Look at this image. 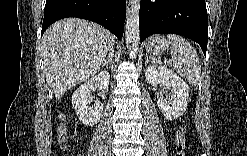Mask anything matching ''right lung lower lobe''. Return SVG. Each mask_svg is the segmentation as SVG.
<instances>
[{"instance_id": "right-lung-lower-lobe-1", "label": "right lung lower lobe", "mask_w": 247, "mask_h": 156, "mask_svg": "<svg viewBox=\"0 0 247 156\" xmlns=\"http://www.w3.org/2000/svg\"><path fill=\"white\" fill-rule=\"evenodd\" d=\"M68 17L94 21L121 39L126 18V0H47L41 35L52 23Z\"/></svg>"}]
</instances>
